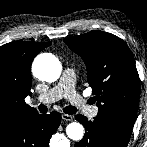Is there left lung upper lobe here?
Segmentation results:
<instances>
[{"instance_id": "1", "label": "left lung upper lobe", "mask_w": 147, "mask_h": 147, "mask_svg": "<svg viewBox=\"0 0 147 147\" xmlns=\"http://www.w3.org/2000/svg\"><path fill=\"white\" fill-rule=\"evenodd\" d=\"M85 62L97 100V118L130 137L137 116L140 80L131 51L119 37L91 31L64 39Z\"/></svg>"}]
</instances>
